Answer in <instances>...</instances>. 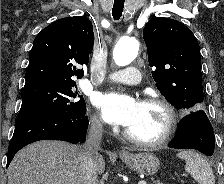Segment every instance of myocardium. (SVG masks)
Returning <instances> with one entry per match:
<instances>
[{"instance_id": "1", "label": "myocardium", "mask_w": 224, "mask_h": 184, "mask_svg": "<svg viewBox=\"0 0 224 184\" xmlns=\"http://www.w3.org/2000/svg\"><path fill=\"white\" fill-rule=\"evenodd\" d=\"M142 103L148 105H157L161 107L164 112L166 113V123L163 129L162 134L153 140H142L135 136H133L128 129L124 131V136L130 142L143 146V147H157L165 144L168 142L171 137L173 136L176 127L178 125L179 117L175 107L166 99L162 97H154V96H147L142 100Z\"/></svg>"}]
</instances>
